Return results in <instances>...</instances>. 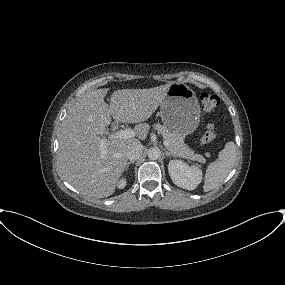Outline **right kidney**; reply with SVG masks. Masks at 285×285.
Masks as SVG:
<instances>
[{"mask_svg": "<svg viewBox=\"0 0 285 285\" xmlns=\"http://www.w3.org/2000/svg\"><path fill=\"white\" fill-rule=\"evenodd\" d=\"M126 186V180L124 178H122L121 180H119V182L117 183V187L119 189H123Z\"/></svg>", "mask_w": 285, "mask_h": 285, "instance_id": "obj_1", "label": "right kidney"}]
</instances>
